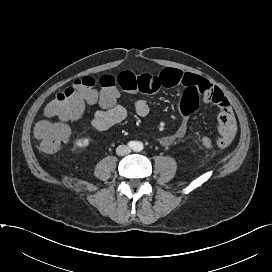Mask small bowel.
I'll return each instance as SVG.
<instances>
[{
    "label": "small bowel",
    "mask_w": 272,
    "mask_h": 272,
    "mask_svg": "<svg viewBox=\"0 0 272 272\" xmlns=\"http://www.w3.org/2000/svg\"><path fill=\"white\" fill-rule=\"evenodd\" d=\"M116 80L118 86L127 92L155 93L162 88L182 87L179 103L181 119L174 132L157 139L163 147H169L184 137L189 119L198 109L201 101L214 104L219 109L216 146L224 149L236 136L237 122L228 99L217 86L200 76L168 68L159 73L136 74L132 71H124ZM150 109V104L146 100H138L135 103V112L140 117L147 116ZM126 116V109L120 104H115L97 111L92 118V126L99 131H105L123 121Z\"/></svg>",
    "instance_id": "obj_1"
}]
</instances>
